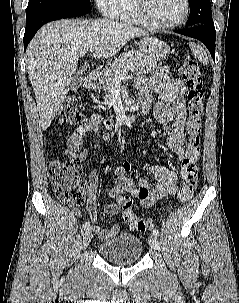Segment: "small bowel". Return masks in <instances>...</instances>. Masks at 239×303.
<instances>
[{
  "label": "small bowel",
  "mask_w": 239,
  "mask_h": 303,
  "mask_svg": "<svg viewBox=\"0 0 239 303\" xmlns=\"http://www.w3.org/2000/svg\"><path fill=\"white\" fill-rule=\"evenodd\" d=\"M141 93L142 102L146 106H153L155 116L159 123L172 125V133L167 138L168 148L181 159L185 153L184 119L185 112L183 106V95L186 91L185 84L170 76L167 71H158L150 79L139 77L136 82ZM154 96L157 100L154 101ZM102 117L94 114L83 120L74 130L67 141L65 154L68 157L76 158L83 162L88 150L83 146V139L89 133L100 134L102 140L108 141L110 135L101 131ZM144 168L153 174L155 183L151 185L147 180L140 179L135 184L127 173L133 169L130 162H125L117 166L114 170L117 177L115 185L109 190L108 196L115 199L114 202L106 204L103 212L106 215H116L122 207L120 195L127 191L135 196L144 207H151L159 199L166 195H175L178 191L177 173L162 165L146 163ZM99 185V174L96 169H91L89 173V195L86 203L87 211L92 220V228L103 241H109L119 234L120 225L114 224L110 228H105L97 222V189ZM78 215L79 211L74 209Z\"/></svg>",
  "instance_id": "obj_1"
}]
</instances>
